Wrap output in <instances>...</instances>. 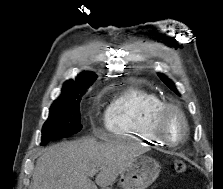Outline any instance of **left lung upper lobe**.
Here are the masks:
<instances>
[{"instance_id":"left-lung-upper-lobe-1","label":"left lung upper lobe","mask_w":223,"mask_h":189,"mask_svg":"<svg viewBox=\"0 0 223 189\" xmlns=\"http://www.w3.org/2000/svg\"><path fill=\"white\" fill-rule=\"evenodd\" d=\"M159 77L171 90L178 94L175 85L168 78H166L164 75H159Z\"/></svg>"}]
</instances>
